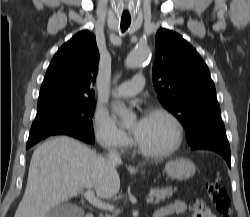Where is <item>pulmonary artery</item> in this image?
Here are the masks:
<instances>
[{
	"instance_id": "1",
	"label": "pulmonary artery",
	"mask_w": 250,
	"mask_h": 217,
	"mask_svg": "<svg viewBox=\"0 0 250 217\" xmlns=\"http://www.w3.org/2000/svg\"><path fill=\"white\" fill-rule=\"evenodd\" d=\"M144 84V76L142 74H137L130 81L121 83L113 91V95L121 98L133 97L143 89Z\"/></svg>"
}]
</instances>
